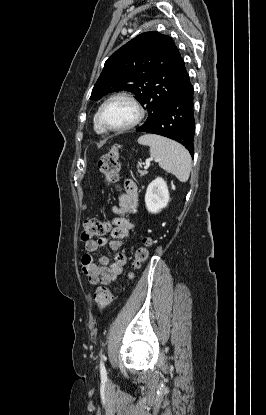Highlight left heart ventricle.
I'll use <instances>...</instances> for the list:
<instances>
[{
  "instance_id": "left-heart-ventricle-1",
  "label": "left heart ventricle",
  "mask_w": 266,
  "mask_h": 415,
  "mask_svg": "<svg viewBox=\"0 0 266 415\" xmlns=\"http://www.w3.org/2000/svg\"><path fill=\"white\" fill-rule=\"evenodd\" d=\"M136 116L135 108L124 99L110 102L104 110L103 118L111 127H121L129 124Z\"/></svg>"
}]
</instances>
